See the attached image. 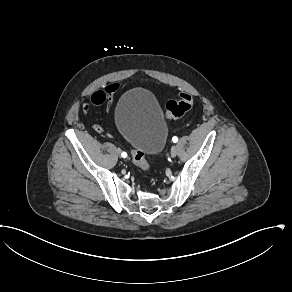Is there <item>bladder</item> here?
<instances>
[{
  "instance_id": "obj_1",
  "label": "bladder",
  "mask_w": 292,
  "mask_h": 292,
  "mask_svg": "<svg viewBox=\"0 0 292 292\" xmlns=\"http://www.w3.org/2000/svg\"><path fill=\"white\" fill-rule=\"evenodd\" d=\"M115 125L134 150L158 154L167 137V123L152 92L136 87L125 92L114 112Z\"/></svg>"
}]
</instances>
